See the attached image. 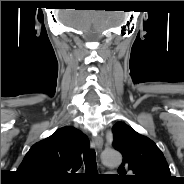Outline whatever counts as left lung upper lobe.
<instances>
[{
  "instance_id": "obj_1",
  "label": "left lung upper lobe",
  "mask_w": 184,
  "mask_h": 184,
  "mask_svg": "<svg viewBox=\"0 0 184 184\" xmlns=\"http://www.w3.org/2000/svg\"><path fill=\"white\" fill-rule=\"evenodd\" d=\"M113 146L123 156L116 178L126 184H171L173 177L157 145L124 122L113 128Z\"/></svg>"
}]
</instances>
